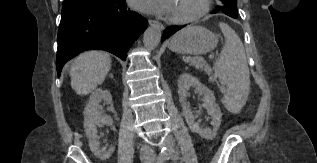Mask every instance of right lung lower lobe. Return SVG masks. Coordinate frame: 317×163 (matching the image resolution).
I'll return each instance as SVG.
<instances>
[{
  "mask_svg": "<svg viewBox=\"0 0 317 163\" xmlns=\"http://www.w3.org/2000/svg\"><path fill=\"white\" fill-rule=\"evenodd\" d=\"M147 23L127 9L125 0H109L62 13L57 37L58 77L64 64L85 50L102 49L126 60L128 49Z\"/></svg>",
  "mask_w": 317,
  "mask_h": 163,
  "instance_id": "1",
  "label": "right lung lower lobe"
}]
</instances>
